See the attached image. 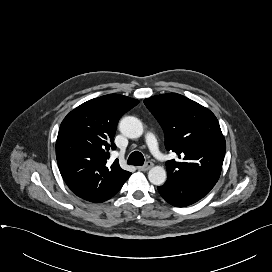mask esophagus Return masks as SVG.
I'll return each instance as SVG.
<instances>
[{"instance_id":"1","label":"esophagus","mask_w":272,"mask_h":272,"mask_svg":"<svg viewBox=\"0 0 272 272\" xmlns=\"http://www.w3.org/2000/svg\"><path fill=\"white\" fill-rule=\"evenodd\" d=\"M153 166L152 162L148 161L144 166H139V171H148Z\"/></svg>"}]
</instances>
